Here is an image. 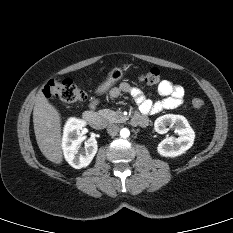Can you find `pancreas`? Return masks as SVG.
I'll list each match as a JSON object with an SVG mask.
<instances>
[{"label": "pancreas", "instance_id": "pancreas-1", "mask_svg": "<svg viewBox=\"0 0 233 233\" xmlns=\"http://www.w3.org/2000/svg\"><path fill=\"white\" fill-rule=\"evenodd\" d=\"M99 115H101L103 118L107 119L109 122H123L125 119L119 112H114L110 109H102L98 111Z\"/></svg>", "mask_w": 233, "mask_h": 233}]
</instances>
